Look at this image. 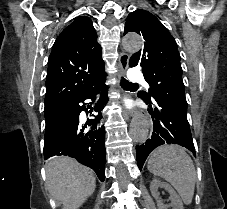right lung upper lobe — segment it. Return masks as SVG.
<instances>
[{
	"label": "right lung upper lobe",
	"instance_id": "obj_1",
	"mask_svg": "<svg viewBox=\"0 0 227 209\" xmlns=\"http://www.w3.org/2000/svg\"><path fill=\"white\" fill-rule=\"evenodd\" d=\"M106 76L92 21L81 16L57 37L48 60L45 108L63 105Z\"/></svg>",
	"mask_w": 227,
	"mask_h": 209
}]
</instances>
